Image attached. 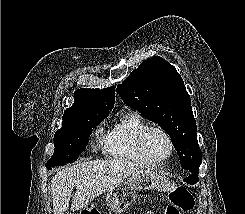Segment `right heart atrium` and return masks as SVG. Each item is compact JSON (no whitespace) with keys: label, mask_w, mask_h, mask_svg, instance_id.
Listing matches in <instances>:
<instances>
[{"label":"right heart atrium","mask_w":245,"mask_h":214,"mask_svg":"<svg viewBox=\"0 0 245 214\" xmlns=\"http://www.w3.org/2000/svg\"><path fill=\"white\" fill-rule=\"evenodd\" d=\"M99 131H100V130L98 129V130L96 131V133H99Z\"/></svg>","instance_id":"1"}]
</instances>
